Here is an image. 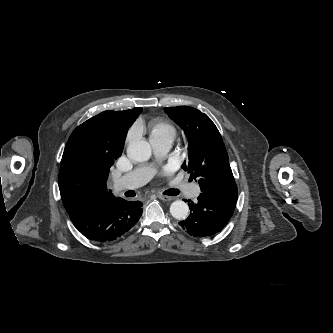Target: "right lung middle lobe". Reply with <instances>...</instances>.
Segmentation results:
<instances>
[{
  "instance_id": "dd1d6c3e",
  "label": "right lung middle lobe",
  "mask_w": 333,
  "mask_h": 333,
  "mask_svg": "<svg viewBox=\"0 0 333 333\" xmlns=\"http://www.w3.org/2000/svg\"><path fill=\"white\" fill-rule=\"evenodd\" d=\"M88 121L86 137L98 146L99 153L103 154L106 149L111 150L112 161L121 156L127 130L133 121L125 125L119 111H104Z\"/></svg>"
}]
</instances>
